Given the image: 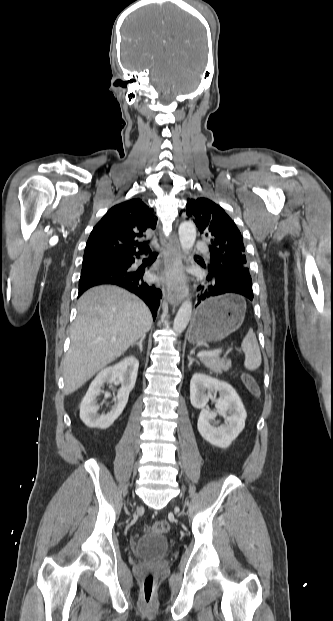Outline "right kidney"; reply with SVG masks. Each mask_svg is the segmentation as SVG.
Returning <instances> with one entry per match:
<instances>
[{
	"mask_svg": "<svg viewBox=\"0 0 333 621\" xmlns=\"http://www.w3.org/2000/svg\"><path fill=\"white\" fill-rule=\"evenodd\" d=\"M138 368L139 361L134 356H128L114 366L99 372L80 403V418L86 426L107 429L113 424L128 402L129 393L136 382ZM116 380L121 383V388L117 393L115 404L108 413L100 415L96 398L102 392L101 387L106 382L113 383Z\"/></svg>",
	"mask_w": 333,
	"mask_h": 621,
	"instance_id": "right-kidney-1",
	"label": "right kidney"
}]
</instances>
